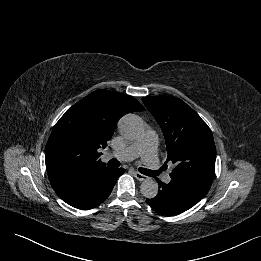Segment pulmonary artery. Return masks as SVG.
I'll return each instance as SVG.
<instances>
[{
    "label": "pulmonary artery",
    "mask_w": 261,
    "mask_h": 261,
    "mask_svg": "<svg viewBox=\"0 0 261 261\" xmlns=\"http://www.w3.org/2000/svg\"><path fill=\"white\" fill-rule=\"evenodd\" d=\"M110 156L122 161H131L137 157H141L148 168L156 170L159 168V160L157 157V135L153 131H146L131 145L121 151L110 154ZM163 181L165 183L171 181L169 173H166L163 176Z\"/></svg>",
    "instance_id": "obj_1"
}]
</instances>
